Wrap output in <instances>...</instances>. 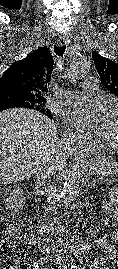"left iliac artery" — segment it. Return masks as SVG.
<instances>
[{"mask_svg": "<svg viewBox=\"0 0 118 269\" xmlns=\"http://www.w3.org/2000/svg\"><path fill=\"white\" fill-rule=\"evenodd\" d=\"M71 269H79V268L77 266H75V265H72Z\"/></svg>", "mask_w": 118, "mask_h": 269, "instance_id": "1", "label": "left iliac artery"}]
</instances>
